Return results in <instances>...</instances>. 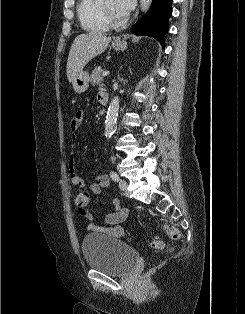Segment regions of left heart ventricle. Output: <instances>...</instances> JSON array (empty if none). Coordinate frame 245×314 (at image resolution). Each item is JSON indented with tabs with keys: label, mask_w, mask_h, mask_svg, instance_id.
I'll return each instance as SVG.
<instances>
[{
	"label": "left heart ventricle",
	"mask_w": 245,
	"mask_h": 314,
	"mask_svg": "<svg viewBox=\"0 0 245 314\" xmlns=\"http://www.w3.org/2000/svg\"><path fill=\"white\" fill-rule=\"evenodd\" d=\"M102 5L109 13L117 17L125 16V14H123L117 9L115 0H102Z\"/></svg>",
	"instance_id": "1"
}]
</instances>
